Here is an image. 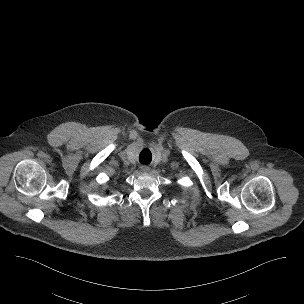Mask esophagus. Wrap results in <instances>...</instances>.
<instances>
[{"instance_id":"34e87169","label":"esophagus","mask_w":304,"mask_h":304,"mask_svg":"<svg viewBox=\"0 0 304 304\" xmlns=\"http://www.w3.org/2000/svg\"><path fill=\"white\" fill-rule=\"evenodd\" d=\"M141 171L143 172V173H147L149 170H150V168L148 167V166H146V165H143V166H141Z\"/></svg>"}]
</instances>
